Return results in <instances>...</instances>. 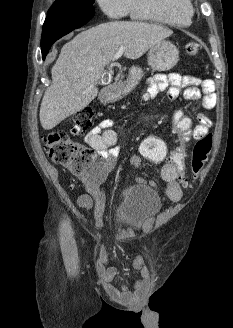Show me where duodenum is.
<instances>
[{"instance_id": "duodenum-1", "label": "duodenum", "mask_w": 233, "mask_h": 328, "mask_svg": "<svg viewBox=\"0 0 233 328\" xmlns=\"http://www.w3.org/2000/svg\"><path fill=\"white\" fill-rule=\"evenodd\" d=\"M117 93V86L116 85H112L110 87L104 88L101 93H100V99L102 102H109L111 101Z\"/></svg>"}]
</instances>
